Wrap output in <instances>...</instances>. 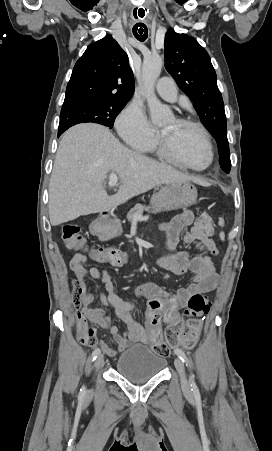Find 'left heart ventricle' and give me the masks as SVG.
I'll return each mask as SVG.
<instances>
[{
    "mask_svg": "<svg viewBox=\"0 0 272 451\" xmlns=\"http://www.w3.org/2000/svg\"><path fill=\"white\" fill-rule=\"evenodd\" d=\"M162 130L168 145L173 147L183 163L195 169H204L208 165L209 152L195 128L180 124L172 117L162 125Z\"/></svg>",
    "mask_w": 272,
    "mask_h": 451,
    "instance_id": "left-heart-ventricle-1",
    "label": "left heart ventricle"
}]
</instances>
